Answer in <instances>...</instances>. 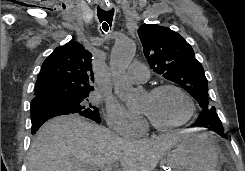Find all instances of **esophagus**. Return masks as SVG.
<instances>
[{
    "label": "esophagus",
    "instance_id": "obj_1",
    "mask_svg": "<svg viewBox=\"0 0 245 171\" xmlns=\"http://www.w3.org/2000/svg\"><path fill=\"white\" fill-rule=\"evenodd\" d=\"M102 8L103 9H106V10H109V9H112L113 8V5L112 4H101Z\"/></svg>",
    "mask_w": 245,
    "mask_h": 171
}]
</instances>
